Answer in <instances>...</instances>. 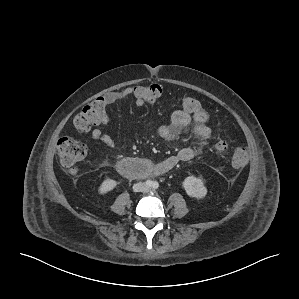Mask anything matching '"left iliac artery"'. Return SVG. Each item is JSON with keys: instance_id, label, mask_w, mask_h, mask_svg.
<instances>
[{"instance_id": "1", "label": "left iliac artery", "mask_w": 299, "mask_h": 299, "mask_svg": "<svg viewBox=\"0 0 299 299\" xmlns=\"http://www.w3.org/2000/svg\"><path fill=\"white\" fill-rule=\"evenodd\" d=\"M158 187H159V183H158V182H156V181H155V182H153V188H154V189H157Z\"/></svg>"}]
</instances>
